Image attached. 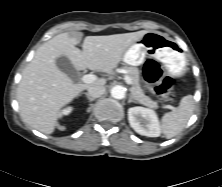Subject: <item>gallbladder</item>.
<instances>
[{"label": "gallbladder", "mask_w": 222, "mask_h": 187, "mask_svg": "<svg viewBox=\"0 0 222 187\" xmlns=\"http://www.w3.org/2000/svg\"><path fill=\"white\" fill-rule=\"evenodd\" d=\"M58 68L64 72L69 78L77 82L80 79L79 72L75 69L71 61L66 57H58L56 59Z\"/></svg>", "instance_id": "obj_1"}]
</instances>
